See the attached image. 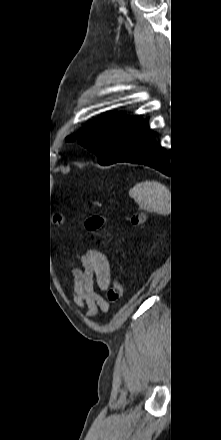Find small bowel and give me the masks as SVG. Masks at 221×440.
<instances>
[{"mask_svg": "<svg viewBox=\"0 0 221 440\" xmlns=\"http://www.w3.org/2000/svg\"><path fill=\"white\" fill-rule=\"evenodd\" d=\"M84 270L71 269L74 280L73 298L79 307L86 306V314L94 316L107 311L108 304L97 293L95 287L106 290L110 283V265L107 257L98 250H89L81 257Z\"/></svg>", "mask_w": 221, "mask_h": 440, "instance_id": "small-bowel-1", "label": "small bowel"}]
</instances>
